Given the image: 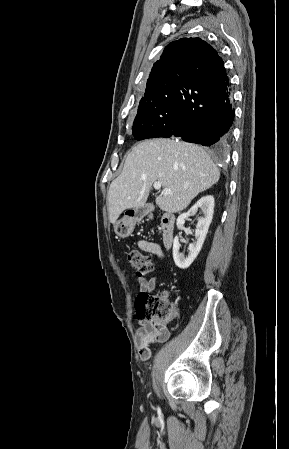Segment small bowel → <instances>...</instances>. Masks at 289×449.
I'll use <instances>...</instances> for the list:
<instances>
[{"mask_svg":"<svg viewBox=\"0 0 289 449\" xmlns=\"http://www.w3.org/2000/svg\"><path fill=\"white\" fill-rule=\"evenodd\" d=\"M138 246L140 249L157 255L158 257H162V251L158 244L147 241L140 240L138 241ZM159 281L158 276H153L150 279H147L143 276L138 278V285L140 293H150L152 292L157 282ZM139 327L135 332V341L138 348L139 355L142 359L146 360L150 357V345L154 343H161L168 339L169 333L159 334L153 330L149 322L144 319L139 318L137 321Z\"/></svg>","mask_w":289,"mask_h":449,"instance_id":"small-bowel-1","label":"small bowel"}]
</instances>
